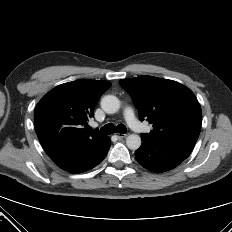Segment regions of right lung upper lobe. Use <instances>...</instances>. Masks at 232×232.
Masks as SVG:
<instances>
[{
	"label": "right lung upper lobe",
	"mask_w": 232,
	"mask_h": 232,
	"mask_svg": "<svg viewBox=\"0 0 232 232\" xmlns=\"http://www.w3.org/2000/svg\"><path fill=\"white\" fill-rule=\"evenodd\" d=\"M110 86L108 81L80 79L56 86L39 101L34 114L37 136L55 163L106 145L109 137L87 133L82 126Z\"/></svg>",
	"instance_id": "cb5924a9"
}]
</instances>
